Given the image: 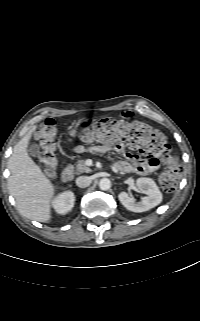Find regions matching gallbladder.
<instances>
[{"label": "gallbladder", "mask_w": 200, "mask_h": 321, "mask_svg": "<svg viewBox=\"0 0 200 321\" xmlns=\"http://www.w3.org/2000/svg\"><path fill=\"white\" fill-rule=\"evenodd\" d=\"M28 152L32 157H38L40 155V147L37 144H32L29 146Z\"/></svg>", "instance_id": "gallbladder-1"}]
</instances>
